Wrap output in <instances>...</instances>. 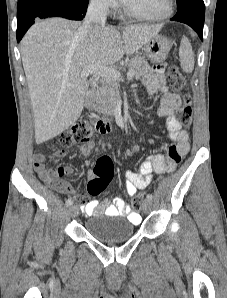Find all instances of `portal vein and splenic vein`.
Returning a JSON list of instances; mask_svg holds the SVG:
<instances>
[{
    "mask_svg": "<svg viewBox=\"0 0 227 298\" xmlns=\"http://www.w3.org/2000/svg\"><path fill=\"white\" fill-rule=\"evenodd\" d=\"M89 75L102 77L104 79H109L112 81H118L120 80V77H121V73L118 70L110 67L99 66V65H91L82 69L80 73V77L86 78ZM133 77H134V71L129 70L127 74V79L132 80Z\"/></svg>",
    "mask_w": 227,
    "mask_h": 298,
    "instance_id": "portal-vein-and-splenic-vein-1",
    "label": "portal vein and splenic vein"
}]
</instances>
